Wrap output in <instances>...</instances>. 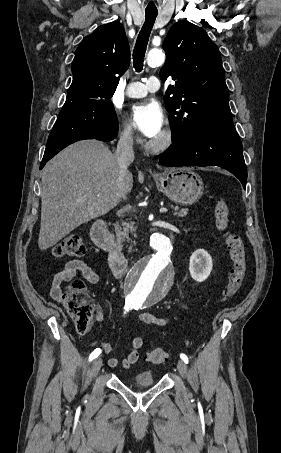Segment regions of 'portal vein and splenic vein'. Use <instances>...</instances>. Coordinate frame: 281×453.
Segmentation results:
<instances>
[{"mask_svg":"<svg viewBox=\"0 0 281 453\" xmlns=\"http://www.w3.org/2000/svg\"><path fill=\"white\" fill-rule=\"evenodd\" d=\"M170 210H171V209L163 208V209H161L160 211H161V212H169Z\"/></svg>","mask_w":281,"mask_h":453,"instance_id":"obj_1","label":"portal vein and splenic vein"}]
</instances>
